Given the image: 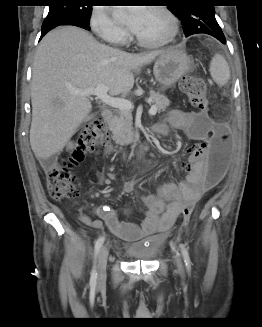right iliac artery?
<instances>
[{"mask_svg":"<svg viewBox=\"0 0 262 327\" xmlns=\"http://www.w3.org/2000/svg\"><path fill=\"white\" fill-rule=\"evenodd\" d=\"M104 243V237H99L95 243V255L97 256L100 248L102 247ZM96 278H97V272H96V266L94 265L92 272H91V277H90V285L95 286L96 285Z\"/></svg>","mask_w":262,"mask_h":327,"instance_id":"82829eb1","label":"right iliac artery"}]
</instances>
